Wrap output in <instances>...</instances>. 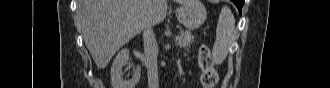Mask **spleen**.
Listing matches in <instances>:
<instances>
[{
  "label": "spleen",
  "instance_id": "obj_1",
  "mask_svg": "<svg viewBox=\"0 0 330 88\" xmlns=\"http://www.w3.org/2000/svg\"><path fill=\"white\" fill-rule=\"evenodd\" d=\"M235 18L228 7H223L219 15L216 41L212 50V58L216 64H221L228 54L230 46L236 41Z\"/></svg>",
  "mask_w": 330,
  "mask_h": 88
}]
</instances>
